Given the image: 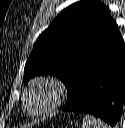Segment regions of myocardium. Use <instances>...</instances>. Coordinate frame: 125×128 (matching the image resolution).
Instances as JSON below:
<instances>
[{
  "label": "myocardium",
  "instance_id": "obj_1",
  "mask_svg": "<svg viewBox=\"0 0 125 128\" xmlns=\"http://www.w3.org/2000/svg\"><path fill=\"white\" fill-rule=\"evenodd\" d=\"M42 91L47 96L46 102L40 107H32L29 103L31 95ZM66 99L64 83L52 76H39L32 79L23 93V109L30 116H44L57 110Z\"/></svg>",
  "mask_w": 125,
  "mask_h": 128
}]
</instances>
